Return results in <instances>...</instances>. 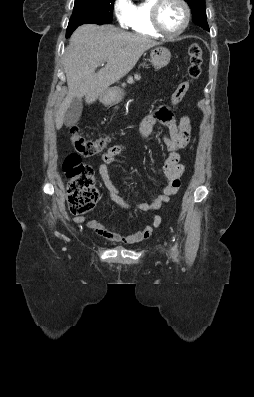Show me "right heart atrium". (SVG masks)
Returning <instances> with one entry per match:
<instances>
[{
  "instance_id": "1",
  "label": "right heart atrium",
  "mask_w": 254,
  "mask_h": 397,
  "mask_svg": "<svg viewBox=\"0 0 254 397\" xmlns=\"http://www.w3.org/2000/svg\"><path fill=\"white\" fill-rule=\"evenodd\" d=\"M113 9L119 25L128 27L132 12L131 0H114Z\"/></svg>"
}]
</instances>
